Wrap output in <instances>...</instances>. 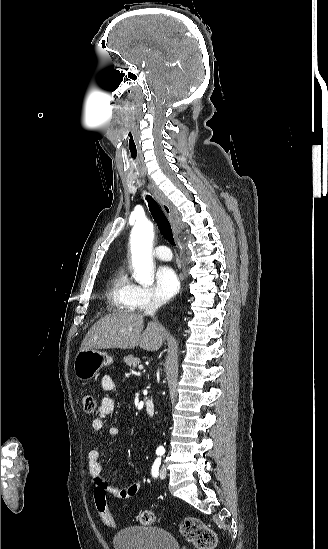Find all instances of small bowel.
Returning a JSON list of instances; mask_svg holds the SVG:
<instances>
[{
  "label": "small bowel",
  "mask_w": 328,
  "mask_h": 549,
  "mask_svg": "<svg viewBox=\"0 0 328 549\" xmlns=\"http://www.w3.org/2000/svg\"><path fill=\"white\" fill-rule=\"evenodd\" d=\"M101 387L105 391H112L115 388V382L109 375L103 376ZM115 410V401L110 396H106L101 400L98 408L97 416L91 422V428L94 431H100L104 426V421L112 415ZM120 430L118 427H110L108 435L117 440ZM87 470L94 485L102 484L106 491L116 498L127 500L137 495L140 490V483L133 482L124 488H117L108 484L102 477V466L100 463V452L97 449H91L87 455Z\"/></svg>",
  "instance_id": "small-bowel-1"
}]
</instances>
